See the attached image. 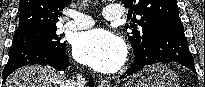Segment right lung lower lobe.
Wrapping results in <instances>:
<instances>
[{
    "label": "right lung lower lobe",
    "mask_w": 205,
    "mask_h": 87,
    "mask_svg": "<svg viewBox=\"0 0 205 87\" xmlns=\"http://www.w3.org/2000/svg\"><path fill=\"white\" fill-rule=\"evenodd\" d=\"M28 64L49 65L62 71L69 66V58L65 53V46L49 48L34 43L12 45L9 60L3 70V83L9 74ZM89 85L94 86L92 78L89 80Z\"/></svg>",
    "instance_id": "right-lung-lower-lobe-1"
}]
</instances>
